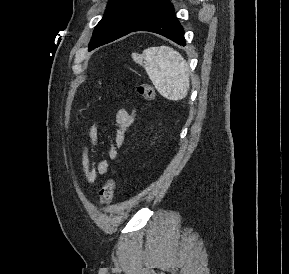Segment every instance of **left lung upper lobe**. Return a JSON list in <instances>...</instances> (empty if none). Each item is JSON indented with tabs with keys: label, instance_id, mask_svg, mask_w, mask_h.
<instances>
[{
	"label": "left lung upper lobe",
	"instance_id": "left-lung-upper-lobe-1",
	"mask_svg": "<svg viewBox=\"0 0 289 274\" xmlns=\"http://www.w3.org/2000/svg\"><path fill=\"white\" fill-rule=\"evenodd\" d=\"M168 0H109L105 14L96 25L89 50L132 32Z\"/></svg>",
	"mask_w": 289,
	"mask_h": 274
}]
</instances>
